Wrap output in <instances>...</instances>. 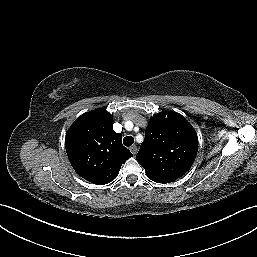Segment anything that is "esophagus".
<instances>
[{
	"label": "esophagus",
	"instance_id": "1",
	"mask_svg": "<svg viewBox=\"0 0 257 257\" xmlns=\"http://www.w3.org/2000/svg\"><path fill=\"white\" fill-rule=\"evenodd\" d=\"M130 151L132 152L133 155H135L138 151V148L136 145H133L130 147Z\"/></svg>",
	"mask_w": 257,
	"mask_h": 257
}]
</instances>
